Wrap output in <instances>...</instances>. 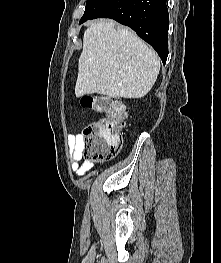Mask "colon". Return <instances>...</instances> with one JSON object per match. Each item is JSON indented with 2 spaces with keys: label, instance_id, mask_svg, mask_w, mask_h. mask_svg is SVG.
I'll return each instance as SVG.
<instances>
[{
  "label": "colon",
  "instance_id": "obj_1",
  "mask_svg": "<svg viewBox=\"0 0 221 263\" xmlns=\"http://www.w3.org/2000/svg\"><path fill=\"white\" fill-rule=\"evenodd\" d=\"M80 103L82 107L101 114L84 130V158L97 161L114 157L119 150L121 130L127 119L125 105L121 100L107 95H84Z\"/></svg>",
  "mask_w": 221,
  "mask_h": 263
}]
</instances>
